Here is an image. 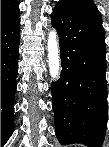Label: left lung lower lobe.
I'll list each match as a JSON object with an SVG mask.
<instances>
[{"label": "left lung lower lobe", "instance_id": "left-lung-lower-lobe-1", "mask_svg": "<svg viewBox=\"0 0 109 147\" xmlns=\"http://www.w3.org/2000/svg\"><path fill=\"white\" fill-rule=\"evenodd\" d=\"M60 42L62 73L52 83L55 132L61 144L102 147L108 119L106 45L102 25L65 5L57 4L51 17ZM75 73L79 87L66 79Z\"/></svg>", "mask_w": 109, "mask_h": 147}]
</instances>
